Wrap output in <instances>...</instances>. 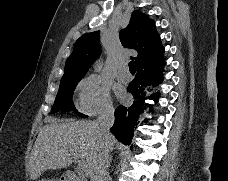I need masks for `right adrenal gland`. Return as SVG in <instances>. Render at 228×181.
Returning a JSON list of instances; mask_svg holds the SVG:
<instances>
[{
	"label": "right adrenal gland",
	"mask_w": 228,
	"mask_h": 181,
	"mask_svg": "<svg viewBox=\"0 0 228 181\" xmlns=\"http://www.w3.org/2000/svg\"><path fill=\"white\" fill-rule=\"evenodd\" d=\"M111 159H109L108 167H110Z\"/></svg>",
	"instance_id": "1"
}]
</instances>
